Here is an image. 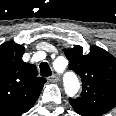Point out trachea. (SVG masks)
<instances>
[{
	"instance_id": "3493384b",
	"label": "trachea",
	"mask_w": 116,
	"mask_h": 116,
	"mask_svg": "<svg viewBox=\"0 0 116 116\" xmlns=\"http://www.w3.org/2000/svg\"><path fill=\"white\" fill-rule=\"evenodd\" d=\"M40 71H41V76L43 77H48L52 75V71L46 62H42L40 64Z\"/></svg>"
}]
</instances>
